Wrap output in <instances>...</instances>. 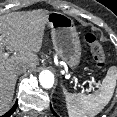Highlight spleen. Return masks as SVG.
Wrapping results in <instances>:
<instances>
[{
    "label": "spleen",
    "instance_id": "1",
    "mask_svg": "<svg viewBox=\"0 0 117 117\" xmlns=\"http://www.w3.org/2000/svg\"><path fill=\"white\" fill-rule=\"evenodd\" d=\"M117 80V69H108L100 88L91 94H71L64 91L69 117H94L109 103L113 96Z\"/></svg>",
    "mask_w": 117,
    "mask_h": 117
}]
</instances>
